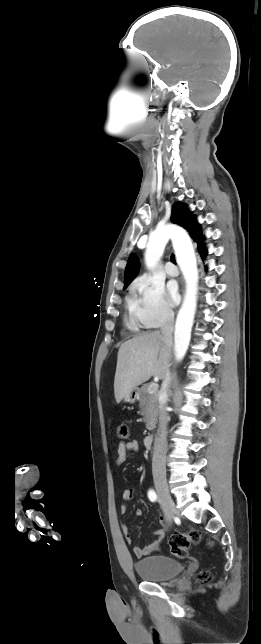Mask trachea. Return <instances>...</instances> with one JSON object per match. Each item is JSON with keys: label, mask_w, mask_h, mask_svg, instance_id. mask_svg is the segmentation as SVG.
Here are the masks:
<instances>
[{"label": "trachea", "mask_w": 261, "mask_h": 644, "mask_svg": "<svg viewBox=\"0 0 261 644\" xmlns=\"http://www.w3.org/2000/svg\"><path fill=\"white\" fill-rule=\"evenodd\" d=\"M171 261H172L174 264H176V261H175V257H174V255H171Z\"/></svg>", "instance_id": "1"}]
</instances>
